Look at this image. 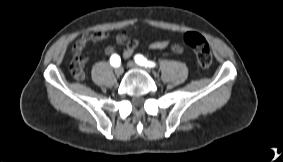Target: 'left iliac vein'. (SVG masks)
<instances>
[{
	"label": "left iliac vein",
	"mask_w": 283,
	"mask_h": 162,
	"mask_svg": "<svg viewBox=\"0 0 283 162\" xmlns=\"http://www.w3.org/2000/svg\"><path fill=\"white\" fill-rule=\"evenodd\" d=\"M127 65H128V67H130V68L143 69V70H145L146 72L151 73L148 69H145V68L139 66L138 64H136V63L133 62V61H129V62L127 63Z\"/></svg>",
	"instance_id": "obj_1"
}]
</instances>
